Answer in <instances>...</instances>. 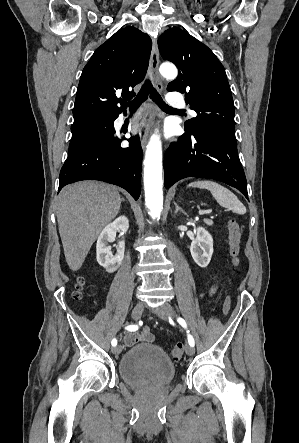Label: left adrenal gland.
I'll use <instances>...</instances> for the list:
<instances>
[{"instance_id": "a2214340", "label": "left adrenal gland", "mask_w": 299, "mask_h": 443, "mask_svg": "<svg viewBox=\"0 0 299 443\" xmlns=\"http://www.w3.org/2000/svg\"><path fill=\"white\" fill-rule=\"evenodd\" d=\"M173 203H174V205H175V213H177L178 211H180V212H182L183 214H186V212H185L181 207H179L178 204H177L175 201H174Z\"/></svg>"}]
</instances>
